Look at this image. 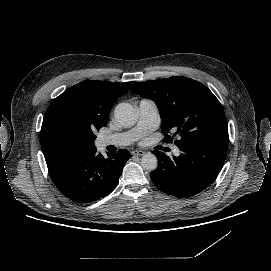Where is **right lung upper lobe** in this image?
Returning <instances> with one entry per match:
<instances>
[{
	"label": "right lung upper lobe",
	"instance_id": "right-lung-upper-lobe-1",
	"mask_svg": "<svg viewBox=\"0 0 271 271\" xmlns=\"http://www.w3.org/2000/svg\"><path fill=\"white\" fill-rule=\"evenodd\" d=\"M134 82L113 83L109 81L85 80L65 90L55 98L73 100L78 112L98 125L106 126L112 105L124 95ZM48 154H44L46 156Z\"/></svg>",
	"mask_w": 271,
	"mask_h": 271
}]
</instances>
